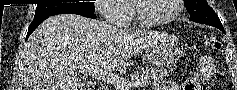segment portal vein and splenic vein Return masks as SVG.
<instances>
[{
	"instance_id": "18ae733b",
	"label": "portal vein and splenic vein",
	"mask_w": 237,
	"mask_h": 90,
	"mask_svg": "<svg viewBox=\"0 0 237 90\" xmlns=\"http://www.w3.org/2000/svg\"><path fill=\"white\" fill-rule=\"evenodd\" d=\"M79 72H86V70H82V68H79ZM91 78H102L104 82H110V84H114L116 90H129L133 84H129V82H126L125 78H119V76H115V74H98V72H95V74H89Z\"/></svg>"
}]
</instances>
